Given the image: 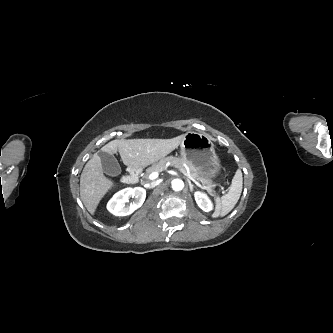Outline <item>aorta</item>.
Wrapping results in <instances>:
<instances>
[{
	"label": "aorta",
	"mask_w": 333,
	"mask_h": 333,
	"mask_svg": "<svg viewBox=\"0 0 333 333\" xmlns=\"http://www.w3.org/2000/svg\"><path fill=\"white\" fill-rule=\"evenodd\" d=\"M184 188V182L180 179H174L172 181V189L175 191H181Z\"/></svg>",
	"instance_id": "obj_1"
}]
</instances>
